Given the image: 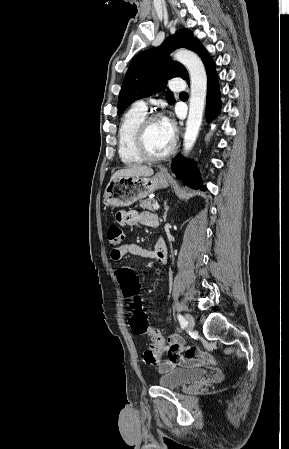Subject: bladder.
<instances>
[{
    "label": "bladder",
    "instance_id": "obj_1",
    "mask_svg": "<svg viewBox=\"0 0 289 449\" xmlns=\"http://www.w3.org/2000/svg\"><path fill=\"white\" fill-rule=\"evenodd\" d=\"M206 373L207 371L201 368H175L162 374L158 384L164 388L177 389L200 380Z\"/></svg>",
    "mask_w": 289,
    "mask_h": 449
}]
</instances>
